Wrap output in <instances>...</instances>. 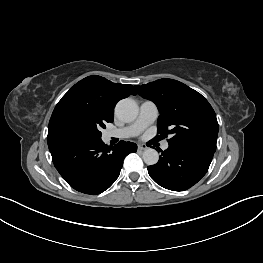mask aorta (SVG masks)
<instances>
[{
	"label": "aorta",
	"mask_w": 263,
	"mask_h": 263,
	"mask_svg": "<svg viewBox=\"0 0 263 263\" xmlns=\"http://www.w3.org/2000/svg\"><path fill=\"white\" fill-rule=\"evenodd\" d=\"M115 113L120 120L131 122L138 115V105L130 98L122 99L117 103ZM142 158L147 165H155L159 160V155L155 149L148 148L143 152Z\"/></svg>",
	"instance_id": "1"
}]
</instances>
